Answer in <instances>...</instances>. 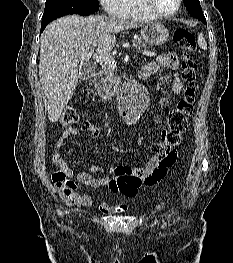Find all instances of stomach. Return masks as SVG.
<instances>
[{"label":"stomach","instance_id":"stomach-1","mask_svg":"<svg viewBox=\"0 0 233 263\" xmlns=\"http://www.w3.org/2000/svg\"><path fill=\"white\" fill-rule=\"evenodd\" d=\"M140 34L149 45H162L169 38L167 28L161 24H149L141 29Z\"/></svg>","mask_w":233,"mask_h":263}]
</instances>
